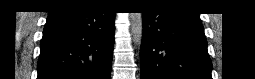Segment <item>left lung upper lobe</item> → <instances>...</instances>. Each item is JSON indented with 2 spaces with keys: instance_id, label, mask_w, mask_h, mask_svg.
<instances>
[{
  "instance_id": "5c2ea615",
  "label": "left lung upper lobe",
  "mask_w": 255,
  "mask_h": 79,
  "mask_svg": "<svg viewBox=\"0 0 255 79\" xmlns=\"http://www.w3.org/2000/svg\"><path fill=\"white\" fill-rule=\"evenodd\" d=\"M165 2H173V1H165Z\"/></svg>"
}]
</instances>
